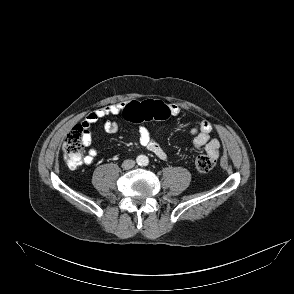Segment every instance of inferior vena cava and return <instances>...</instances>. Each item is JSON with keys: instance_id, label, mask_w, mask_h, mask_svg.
<instances>
[{"instance_id": "inferior-vena-cava-1", "label": "inferior vena cava", "mask_w": 294, "mask_h": 294, "mask_svg": "<svg viewBox=\"0 0 294 294\" xmlns=\"http://www.w3.org/2000/svg\"><path fill=\"white\" fill-rule=\"evenodd\" d=\"M135 165V161L132 159H127L122 163V168L125 170L133 168Z\"/></svg>"}]
</instances>
